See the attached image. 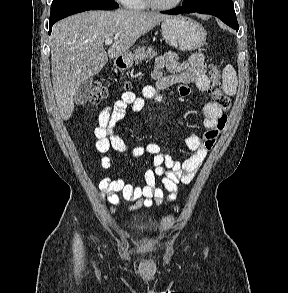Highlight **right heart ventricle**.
I'll list each match as a JSON object with an SVG mask.
<instances>
[{
	"label": "right heart ventricle",
	"mask_w": 288,
	"mask_h": 293,
	"mask_svg": "<svg viewBox=\"0 0 288 293\" xmlns=\"http://www.w3.org/2000/svg\"><path fill=\"white\" fill-rule=\"evenodd\" d=\"M126 6L134 10H144L147 8L145 0H129Z\"/></svg>",
	"instance_id": "right-heart-ventricle-1"
}]
</instances>
